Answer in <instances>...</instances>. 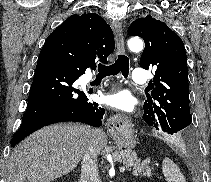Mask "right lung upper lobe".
<instances>
[{
  "label": "right lung upper lobe",
  "instance_id": "cb5924a9",
  "mask_svg": "<svg viewBox=\"0 0 211 182\" xmlns=\"http://www.w3.org/2000/svg\"><path fill=\"white\" fill-rule=\"evenodd\" d=\"M81 48V53L87 63L96 66L95 59L107 62V57L114 51V36L110 26L97 14H74L63 24Z\"/></svg>",
  "mask_w": 211,
  "mask_h": 182
}]
</instances>
